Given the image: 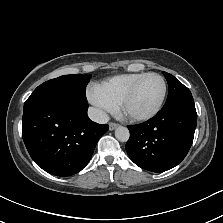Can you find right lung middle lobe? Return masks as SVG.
Returning <instances> with one entry per match:
<instances>
[{
  "label": "right lung middle lobe",
  "mask_w": 223,
  "mask_h": 223,
  "mask_svg": "<svg viewBox=\"0 0 223 223\" xmlns=\"http://www.w3.org/2000/svg\"><path fill=\"white\" fill-rule=\"evenodd\" d=\"M90 75H64L44 82L26 100L24 108L46 102L71 100L87 103L86 86Z\"/></svg>",
  "instance_id": "1"
}]
</instances>
